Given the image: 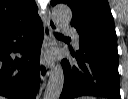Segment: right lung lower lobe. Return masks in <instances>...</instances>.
<instances>
[{
  "label": "right lung lower lobe",
  "instance_id": "1",
  "mask_svg": "<svg viewBox=\"0 0 128 99\" xmlns=\"http://www.w3.org/2000/svg\"><path fill=\"white\" fill-rule=\"evenodd\" d=\"M43 36L39 17L0 36V95L9 99H35ZM11 52H19L22 57L13 59Z\"/></svg>",
  "mask_w": 128,
  "mask_h": 99
}]
</instances>
